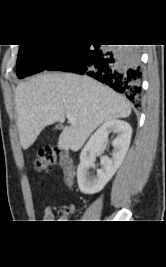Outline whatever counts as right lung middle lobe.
<instances>
[{
	"instance_id": "right-lung-middle-lobe-1",
	"label": "right lung middle lobe",
	"mask_w": 166,
	"mask_h": 267,
	"mask_svg": "<svg viewBox=\"0 0 166 267\" xmlns=\"http://www.w3.org/2000/svg\"><path fill=\"white\" fill-rule=\"evenodd\" d=\"M16 74L19 78L45 70L67 45H19Z\"/></svg>"
}]
</instances>
